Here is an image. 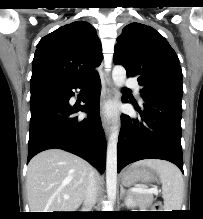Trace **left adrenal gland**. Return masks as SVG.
Masks as SVG:
<instances>
[{
  "label": "left adrenal gland",
  "mask_w": 203,
  "mask_h": 219,
  "mask_svg": "<svg viewBox=\"0 0 203 219\" xmlns=\"http://www.w3.org/2000/svg\"><path fill=\"white\" fill-rule=\"evenodd\" d=\"M125 192H127V193L130 194L129 191H126V190H125V188L123 187V185H120V196H121V198L123 197V195H124Z\"/></svg>",
  "instance_id": "left-adrenal-gland-1"
}]
</instances>
